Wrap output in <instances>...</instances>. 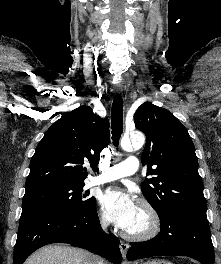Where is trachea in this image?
Here are the masks:
<instances>
[{
	"mask_svg": "<svg viewBox=\"0 0 221 264\" xmlns=\"http://www.w3.org/2000/svg\"><path fill=\"white\" fill-rule=\"evenodd\" d=\"M112 140L118 146L123 131V99L120 95L114 97L111 110Z\"/></svg>",
	"mask_w": 221,
	"mask_h": 264,
	"instance_id": "obj_1",
	"label": "trachea"
}]
</instances>
